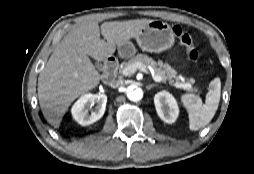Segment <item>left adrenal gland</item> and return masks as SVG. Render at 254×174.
I'll list each match as a JSON object with an SVG mask.
<instances>
[{
	"mask_svg": "<svg viewBox=\"0 0 254 174\" xmlns=\"http://www.w3.org/2000/svg\"><path fill=\"white\" fill-rule=\"evenodd\" d=\"M157 86L156 84H149L148 86H146L147 90H150L151 88Z\"/></svg>",
	"mask_w": 254,
	"mask_h": 174,
	"instance_id": "left-adrenal-gland-1",
	"label": "left adrenal gland"
}]
</instances>
